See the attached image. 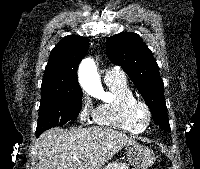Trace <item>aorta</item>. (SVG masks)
<instances>
[{
  "label": "aorta",
  "instance_id": "aorta-1",
  "mask_svg": "<svg viewBox=\"0 0 200 169\" xmlns=\"http://www.w3.org/2000/svg\"><path fill=\"white\" fill-rule=\"evenodd\" d=\"M79 81L90 94L100 96L103 88L93 59L85 58L79 66Z\"/></svg>",
  "mask_w": 200,
  "mask_h": 169
}]
</instances>
